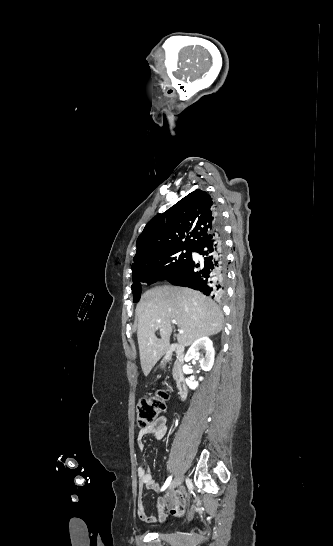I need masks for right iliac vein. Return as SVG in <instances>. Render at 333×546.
Wrapping results in <instances>:
<instances>
[{"label":"right iliac vein","instance_id":"1","mask_svg":"<svg viewBox=\"0 0 333 546\" xmlns=\"http://www.w3.org/2000/svg\"><path fill=\"white\" fill-rule=\"evenodd\" d=\"M183 481V477L181 475L177 476L170 484L168 491H172L175 488H177Z\"/></svg>","mask_w":333,"mask_h":546}]
</instances>
